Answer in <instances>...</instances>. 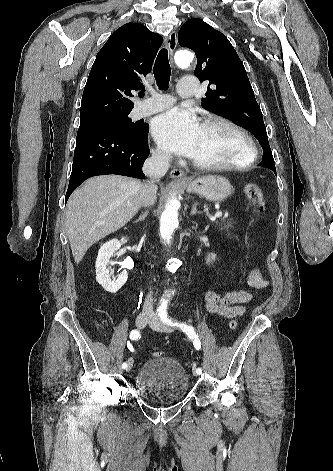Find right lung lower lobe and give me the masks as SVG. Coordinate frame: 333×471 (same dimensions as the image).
<instances>
[{
	"instance_id": "obj_1",
	"label": "right lung lower lobe",
	"mask_w": 333,
	"mask_h": 471,
	"mask_svg": "<svg viewBox=\"0 0 333 471\" xmlns=\"http://www.w3.org/2000/svg\"><path fill=\"white\" fill-rule=\"evenodd\" d=\"M148 132V124H143L137 133L112 127L79 129L65 201L92 176L117 174L145 178L142 166L150 153Z\"/></svg>"
}]
</instances>
